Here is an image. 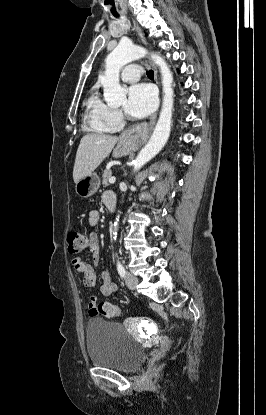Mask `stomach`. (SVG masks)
Wrapping results in <instances>:
<instances>
[{
	"instance_id": "0dacf381",
	"label": "stomach",
	"mask_w": 266,
	"mask_h": 415,
	"mask_svg": "<svg viewBox=\"0 0 266 415\" xmlns=\"http://www.w3.org/2000/svg\"><path fill=\"white\" fill-rule=\"evenodd\" d=\"M135 146L132 140H120L113 150L116 158L127 155ZM100 186V179L95 173H91L80 179L75 185L76 194L81 198H88L96 193Z\"/></svg>"
}]
</instances>
